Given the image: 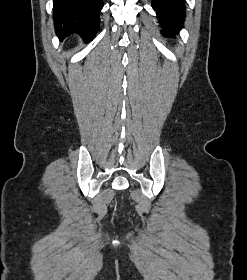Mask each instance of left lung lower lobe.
<instances>
[{
    "instance_id": "obj_1",
    "label": "left lung lower lobe",
    "mask_w": 247,
    "mask_h": 280,
    "mask_svg": "<svg viewBox=\"0 0 247 280\" xmlns=\"http://www.w3.org/2000/svg\"><path fill=\"white\" fill-rule=\"evenodd\" d=\"M152 8L156 10L163 35L174 36L183 28L186 16L185 0H152Z\"/></svg>"
}]
</instances>
